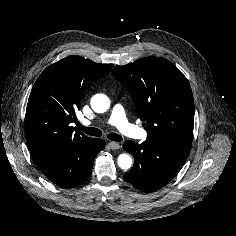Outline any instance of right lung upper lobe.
I'll return each mask as SVG.
<instances>
[{
	"label": "right lung upper lobe",
	"mask_w": 236,
	"mask_h": 236,
	"mask_svg": "<svg viewBox=\"0 0 236 236\" xmlns=\"http://www.w3.org/2000/svg\"><path fill=\"white\" fill-rule=\"evenodd\" d=\"M112 67L68 56L40 74L29 96L25 116L26 142L35 163L93 140L77 131L72 123L77 120L76 111L86 89Z\"/></svg>",
	"instance_id": "right-lung-upper-lobe-1"
}]
</instances>
